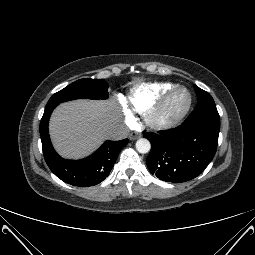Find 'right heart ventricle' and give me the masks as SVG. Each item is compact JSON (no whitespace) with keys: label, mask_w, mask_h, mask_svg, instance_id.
I'll return each instance as SVG.
<instances>
[{"label":"right heart ventricle","mask_w":255,"mask_h":255,"mask_svg":"<svg viewBox=\"0 0 255 255\" xmlns=\"http://www.w3.org/2000/svg\"><path fill=\"white\" fill-rule=\"evenodd\" d=\"M176 87L170 82L151 83L134 88L128 96V105L137 112H146L169 90Z\"/></svg>","instance_id":"e07e8e85"}]
</instances>
